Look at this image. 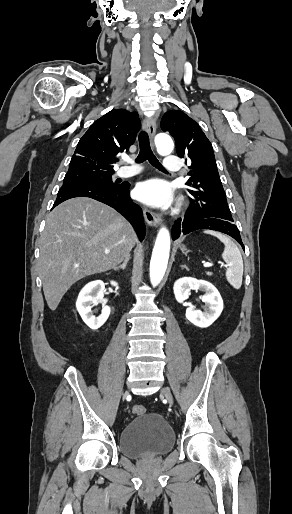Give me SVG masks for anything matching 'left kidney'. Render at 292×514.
I'll list each match as a JSON object with an SVG mask.
<instances>
[{"label":"left kidney","instance_id":"5707ae66","mask_svg":"<svg viewBox=\"0 0 292 514\" xmlns=\"http://www.w3.org/2000/svg\"><path fill=\"white\" fill-rule=\"evenodd\" d=\"M173 290L175 298L180 304L188 300L190 290H202V292H206L201 298L206 306L204 312L195 310V306H189L186 310V318L191 324H194V326H198V328H208V326H211V324L219 318L223 310V300L218 290H216L215 286L210 284V282L196 280V278H180V280L175 282Z\"/></svg>","mask_w":292,"mask_h":514}]
</instances>
